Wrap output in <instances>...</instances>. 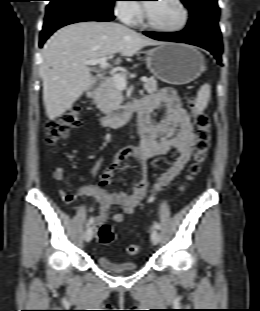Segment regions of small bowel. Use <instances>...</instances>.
Returning <instances> with one entry per match:
<instances>
[{"label":"small bowel","instance_id":"c3829d8e","mask_svg":"<svg viewBox=\"0 0 260 311\" xmlns=\"http://www.w3.org/2000/svg\"><path fill=\"white\" fill-rule=\"evenodd\" d=\"M161 107L165 113L157 122L151 119V113ZM140 134L142 144L140 148H127L120 151L113 165L108 167L100 177L101 186H108L112 183L114 166L127 159H135L143 172L147 168V161L153 157L161 156L176 151L177 156L170 166L160 175L154 186V191L172 182L183 170L192 154V146L195 143V134L189 114L181 106L180 100L173 89L164 88L159 92L148 96L142 101L140 112ZM101 164L98 158L90 167L89 175L95 176ZM54 180L62 182L66 178L65 169L57 167L52 174ZM148 190V181L143 176L133 188L132 193L109 192L98 186H85L76 192L61 190L60 195L66 203L72 202L80 194H87L93 197L100 205L99 213L92 217L93 225L97 226L106 221L109 209L112 205H118L120 211L113 215V220L120 223L125 215L132 214L144 198ZM80 210V208H76Z\"/></svg>","mask_w":260,"mask_h":311}]
</instances>
